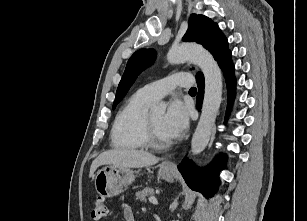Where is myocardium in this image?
Returning <instances> with one entry per match:
<instances>
[{"label": "myocardium", "mask_w": 307, "mask_h": 221, "mask_svg": "<svg viewBox=\"0 0 307 221\" xmlns=\"http://www.w3.org/2000/svg\"><path fill=\"white\" fill-rule=\"evenodd\" d=\"M143 140L145 146L154 150H162L170 145L169 140L160 141L157 138L155 127L151 118V113H147L145 118Z\"/></svg>", "instance_id": "myocardium-1"}]
</instances>
